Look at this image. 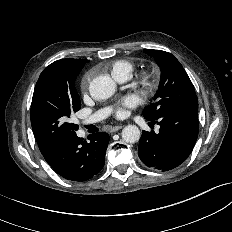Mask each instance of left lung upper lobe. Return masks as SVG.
<instances>
[{
    "label": "left lung upper lobe",
    "instance_id": "left-lung-upper-lobe-1",
    "mask_svg": "<svg viewBox=\"0 0 232 232\" xmlns=\"http://www.w3.org/2000/svg\"><path fill=\"white\" fill-rule=\"evenodd\" d=\"M144 51L153 57L160 67L161 78L154 102L144 108L143 116L149 120H156L168 111L180 107L197 110L198 100L194 86L177 58L161 50Z\"/></svg>",
    "mask_w": 232,
    "mask_h": 232
}]
</instances>
